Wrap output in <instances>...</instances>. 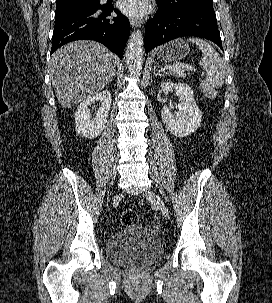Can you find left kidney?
Returning <instances> with one entry per match:
<instances>
[{
    "label": "left kidney",
    "mask_w": 272,
    "mask_h": 303,
    "mask_svg": "<svg viewBox=\"0 0 272 303\" xmlns=\"http://www.w3.org/2000/svg\"><path fill=\"white\" fill-rule=\"evenodd\" d=\"M161 92L167 95L170 91L180 95L182 102L175 107L178 112L172 114L173 105L164 106L161 116L166 129L174 136L184 137L195 132L201 124L202 115L194 99L191 87L185 83L162 82Z\"/></svg>",
    "instance_id": "5707ae66"
}]
</instances>
